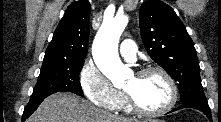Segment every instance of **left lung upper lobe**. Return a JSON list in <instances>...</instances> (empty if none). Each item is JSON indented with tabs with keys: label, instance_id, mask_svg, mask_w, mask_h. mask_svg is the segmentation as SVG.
I'll use <instances>...</instances> for the list:
<instances>
[{
	"label": "left lung upper lobe",
	"instance_id": "1",
	"mask_svg": "<svg viewBox=\"0 0 221 122\" xmlns=\"http://www.w3.org/2000/svg\"><path fill=\"white\" fill-rule=\"evenodd\" d=\"M140 31L149 56L177 81L182 102L206 100L194 43L175 11L158 0L144 2Z\"/></svg>",
	"mask_w": 221,
	"mask_h": 122
}]
</instances>
